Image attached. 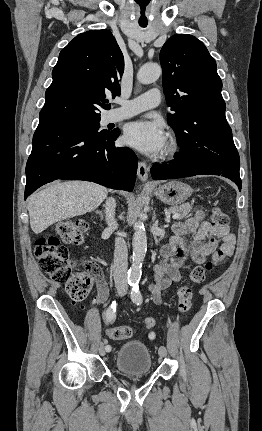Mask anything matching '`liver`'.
Here are the masks:
<instances>
[{"instance_id": "obj_1", "label": "liver", "mask_w": 262, "mask_h": 431, "mask_svg": "<svg viewBox=\"0 0 262 431\" xmlns=\"http://www.w3.org/2000/svg\"><path fill=\"white\" fill-rule=\"evenodd\" d=\"M107 188L92 182L56 183L28 199L30 226L35 234L50 225L95 210L107 196Z\"/></svg>"}]
</instances>
